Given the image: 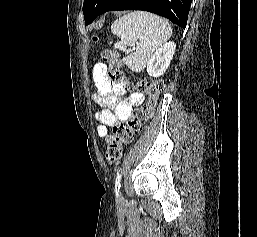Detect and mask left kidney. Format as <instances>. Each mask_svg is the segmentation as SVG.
<instances>
[{"instance_id": "left-kidney-1", "label": "left kidney", "mask_w": 257, "mask_h": 237, "mask_svg": "<svg viewBox=\"0 0 257 237\" xmlns=\"http://www.w3.org/2000/svg\"><path fill=\"white\" fill-rule=\"evenodd\" d=\"M176 45L173 42L163 44L153 55L147 73L153 77H160L170 65L175 53Z\"/></svg>"}]
</instances>
